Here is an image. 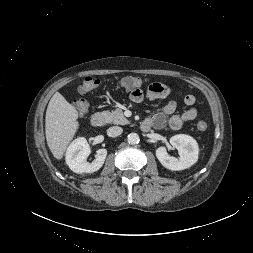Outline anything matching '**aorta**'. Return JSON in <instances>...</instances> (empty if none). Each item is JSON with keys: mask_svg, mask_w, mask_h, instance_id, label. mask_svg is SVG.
<instances>
[{"mask_svg": "<svg viewBox=\"0 0 253 253\" xmlns=\"http://www.w3.org/2000/svg\"><path fill=\"white\" fill-rule=\"evenodd\" d=\"M128 143L131 145L138 144L140 139L137 133H130L127 137Z\"/></svg>", "mask_w": 253, "mask_h": 253, "instance_id": "1", "label": "aorta"}]
</instances>
